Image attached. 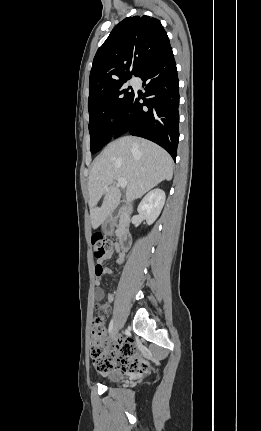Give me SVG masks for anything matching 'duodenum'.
Segmentation results:
<instances>
[{"instance_id": "duodenum-1", "label": "duodenum", "mask_w": 261, "mask_h": 431, "mask_svg": "<svg viewBox=\"0 0 261 431\" xmlns=\"http://www.w3.org/2000/svg\"><path fill=\"white\" fill-rule=\"evenodd\" d=\"M120 210L124 215V222L119 232V247L122 252H126L131 247V236L128 231L129 211L125 206H121ZM112 225L113 218H110L109 220H107L105 226L107 229H110Z\"/></svg>"}]
</instances>
